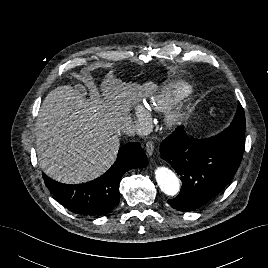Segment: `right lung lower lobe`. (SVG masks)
Here are the masks:
<instances>
[{
    "label": "right lung lower lobe",
    "mask_w": 268,
    "mask_h": 268,
    "mask_svg": "<svg viewBox=\"0 0 268 268\" xmlns=\"http://www.w3.org/2000/svg\"><path fill=\"white\" fill-rule=\"evenodd\" d=\"M148 164L139 143H127L119 149L116 162L99 178L83 184H63L43 174L45 185L68 210L84 215H106L119 203L121 177L134 168Z\"/></svg>",
    "instance_id": "obj_1"
}]
</instances>
